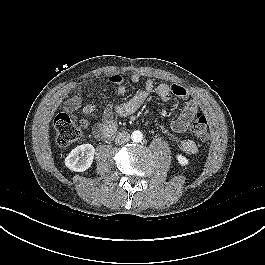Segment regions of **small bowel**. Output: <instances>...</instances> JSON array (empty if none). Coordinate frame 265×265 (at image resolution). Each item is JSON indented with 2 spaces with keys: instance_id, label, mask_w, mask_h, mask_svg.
Instances as JSON below:
<instances>
[{
  "instance_id": "c3829d8e",
  "label": "small bowel",
  "mask_w": 265,
  "mask_h": 265,
  "mask_svg": "<svg viewBox=\"0 0 265 265\" xmlns=\"http://www.w3.org/2000/svg\"><path fill=\"white\" fill-rule=\"evenodd\" d=\"M141 76L135 73L131 76L133 83H139ZM109 81L117 86V92L119 95L126 93V87L123 84V78L119 74H114L109 77ZM156 95L163 101H168L171 96H176L180 99L186 100L189 97V93L185 87L179 84H166L160 83L155 85L151 78H148L144 82L142 89L138 90L130 99L115 106L113 109L108 110L104 113L102 122L93 128V133L98 138H110L117 127V117H126L135 113L141 106L146 102L148 97L152 94ZM66 109L76 114L81 107V97L79 94L71 95L65 102ZM97 108L96 103H89L82 108L84 114H91ZM200 104L196 99L188 100L180 115L172 121V129L176 133H184L190 123L193 121L195 115L199 113ZM179 149L189 155L197 152V145L191 139H181L178 142Z\"/></svg>"
}]
</instances>
